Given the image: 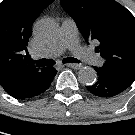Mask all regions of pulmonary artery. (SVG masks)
I'll return each instance as SVG.
<instances>
[{"label": "pulmonary artery", "mask_w": 135, "mask_h": 135, "mask_svg": "<svg viewBox=\"0 0 135 135\" xmlns=\"http://www.w3.org/2000/svg\"><path fill=\"white\" fill-rule=\"evenodd\" d=\"M66 50H70L73 55L90 64L99 65L101 57L92 50L80 45L77 36V26L73 19L66 18L62 21L59 41L42 52L34 55L35 58H53L60 56Z\"/></svg>", "instance_id": "1"}]
</instances>
